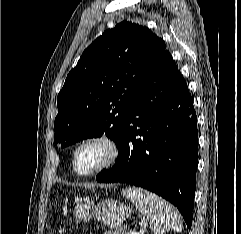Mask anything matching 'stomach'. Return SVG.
I'll return each instance as SVG.
<instances>
[{
  "mask_svg": "<svg viewBox=\"0 0 241 234\" xmlns=\"http://www.w3.org/2000/svg\"><path fill=\"white\" fill-rule=\"evenodd\" d=\"M75 215L79 220L86 221L99 218L104 224L118 228L131 215V209L112 199L102 200L97 204L80 201L75 208Z\"/></svg>",
  "mask_w": 241,
  "mask_h": 234,
  "instance_id": "0dacf381",
  "label": "stomach"
}]
</instances>
